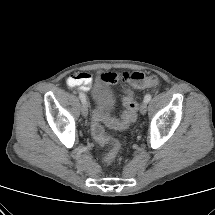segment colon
Instances as JSON below:
<instances>
[{
	"instance_id": "obj_1",
	"label": "colon",
	"mask_w": 215,
	"mask_h": 215,
	"mask_svg": "<svg viewBox=\"0 0 215 215\" xmlns=\"http://www.w3.org/2000/svg\"><path fill=\"white\" fill-rule=\"evenodd\" d=\"M129 84L135 88H146L150 86H154L157 84V77L154 75H145L141 72H134L129 76ZM130 86L125 87L126 96L124 97L123 104L125 107L124 113L120 120L113 121L112 123L118 128H126L132 122H134L137 118L138 112V103L135 100L134 94L131 90ZM102 116L96 112L93 115V122H92V135L96 142L100 145H107L111 146V149L108 153L104 156V162L106 164H111L120 149V143L118 140L113 139L105 134L104 128L102 126Z\"/></svg>"
}]
</instances>
